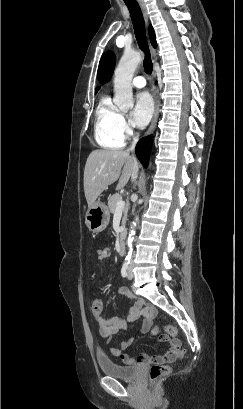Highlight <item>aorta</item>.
Here are the masks:
<instances>
[{"label":"aorta","instance_id":"obj_1","mask_svg":"<svg viewBox=\"0 0 243 409\" xmlns=\"http://www.w3.org/2000/svg\"><path fill=\"white\" fill-rule=\"evenodd\" d=\"M141 62V54L137 51H125L114 73V103L121 110H127L134 106L132 92V77ZM137 218L132 222L128 235V255L132 254V243L134 241Z\"/></svg>","mask_w":243,"mask_h":409}]
</instances>
